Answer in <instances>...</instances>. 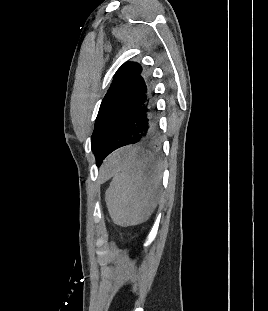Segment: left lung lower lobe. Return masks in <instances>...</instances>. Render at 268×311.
<instances>
[{"label": "left lung lower lobe", "instance_id": "obj_1", "mask_svg": "<svg viewBox=\"0 0 268 311\" xmlns=\"http://www.w3.org/2000/svg\"><path fill=\"white\" fill-rule=\"evenodd\" d=\"M121 116L123 123L113 134L103 159L126 144L143 145L150 141H160L152 78L145 69L136 80L128 106H125Z\"/></svg>", "mask_w": 268, "mask_h": 311}]
</instances>
